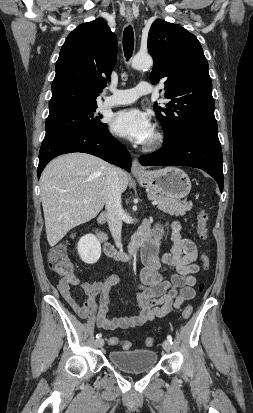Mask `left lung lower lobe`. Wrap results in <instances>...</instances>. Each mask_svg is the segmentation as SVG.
Returning <instances> with one entry per match:
<instances>
[{
	"label": "left lung lower lobe",
	"instance_id": "obj_1",
	"mask_svg": "<svg viewBox=\"0 0 253 413\" xmlns=\"http://www.w3.org/2000/svg\"><path fill=\"white\" fill-rule=\"evenodd\" d=\"M144 166L181 165L195 167L210 174L223 191V157L218 136L191 134L149 155L140 156Z\"/></svg>",
	"mask_w": 253,
	"mask_h": 413
}]
</instances>
